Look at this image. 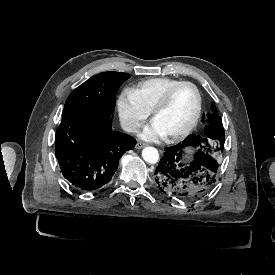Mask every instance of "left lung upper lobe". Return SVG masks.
Returning a JSON list of instances; mask_svg holds the SVG:
<instances>
[{
  "mask_svg": "<svg viewBox=\"0 0 275 275\" xmlns=\"http://www.w3.org/2000/svg\"><path fill=\"white\" fill-rule=\"evenodd\" d=\"M211 108L213 112L207 114L209 124L206 126L205 136L200 137L197 135H189L182 144L176 146V149H182L189 145L194 147L200 145L202 149L196 153V160L204 166L217 170L219 163L217 162L216 157H218L219 153L223 151L225 133L221 117L218 115L213 104ZM201 144H204L205 146L203 147Z\"/></svg>",
  "mask_w": 275,
  "mask_h": 275,
  "instance_id": "1",
  "label": "left lung upper lobe"
}]
</instances>
